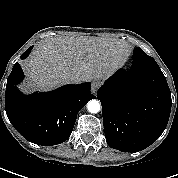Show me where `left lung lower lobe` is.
I'll use <instances>...</instances> for the list:
<instances>
[{"instance_id":"0a47b994","label":"left lung lower lobe","mask_w":178,"mask_h":178,"mask_svg":"<svg viewBox=\"0 0 178 178\" xmlns=\"http://www.w3.org/2000/svg\"><path fill=\"white\" fill-rule=\"evenodd\" d=\"M102 104L105 138L114 149L138 152L165 130L171 92L156 61L134 59L129 71L118 70L97 92Z\"/></svg>"}]
</instances>
